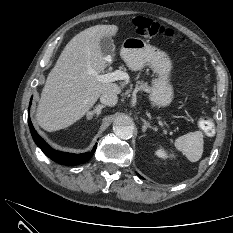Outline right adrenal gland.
I'll list each match as a JSON object with an SVG mask.
<instances>
[{
	"mask_svg": "<svg viewBox=\"0 0 233 233\" xmlns=\"http://www.w3.org/2000/svg\"><path fill=\"white\" fill-rule=\"evenodd\" d=\"M105 108L104 105H98L93 111H89L86 114L87 120H91L93 115H96L97 117L101 114V110Z\"/></svg>",
	"mask_w": 233,
	"mask_h": 233,
	"instance_id": "right-adrenal-gland-1",
	"label": "right adrenal gland"
}]
</instances>
